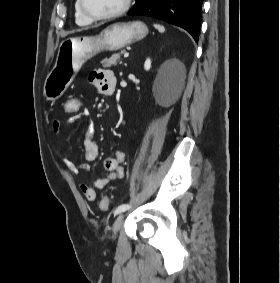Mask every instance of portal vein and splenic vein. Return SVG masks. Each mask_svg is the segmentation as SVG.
<instances>
[{
  "label": "portal vein and splenic vein",
  "instance_id": "portal-vein-and-splenic-vein-1",
  "mask_svg": "<svg viewBox=\"0 0 280 283\" xmlns=\"http://www.w3.org/2000/svg\"><path fill=\"white\" fill-rule=\"evenodd\" d=\"M129 56V53L128 52H125L124 53V58H127Z\"/></svg>",
  "mask_w": 280,
  "mask_h": 283
}]
</instances>
